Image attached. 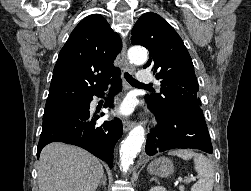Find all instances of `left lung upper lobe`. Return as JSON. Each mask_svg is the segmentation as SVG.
I'll use <instances>...</instances> for the list:
<instances>
[{"instance_id":"1","label":"left lung upper lobe","mask_w":251,"mask_h":191,"mask_svg":"<svg viewBox=\"0 0 251 191\" xmlns=\"http://www.w3.org/2000/svg\"><path fill=\"white\" fill-rule=\"evenodd\" d=\"M131 42L148 49L150 56L144 68H151L161 80V94L145 96L161 117L180 106H201L192 59L167 21L155 13L143 14L133 27Z\"/></svg>"}]
</instances>
